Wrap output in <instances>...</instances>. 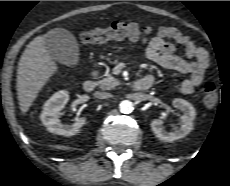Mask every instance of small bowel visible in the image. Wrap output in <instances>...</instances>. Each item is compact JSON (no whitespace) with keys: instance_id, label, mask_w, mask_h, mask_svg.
<instances>
[{"instance_id":"1","label":"small bowel","mask_w":230,"mask_h":186,"mask_svg":"<svg viewBox=\"0 0 230 186\" xmlns=\"http://www.w3.org/2000/svg\"><path fill=\"white\" fill-rule=\"evenodd\" d=\"M170 40L183 46L186 59L175 54L176 47ZM146 54L151 60L166 69L189 75L178 87L183 94L194 92L203 82L209 67L208 53L174 26L159 27L146 47ZM145 77L152 78L151 76Z\"/></svg>"}]
</instances>
